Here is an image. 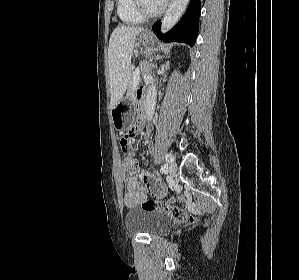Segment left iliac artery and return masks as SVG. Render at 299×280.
<instances>
[{
	"mask_svg": "<svg viewBox=\"0 0 299 280\" xmlns=\"http://www.w3.org/2000/svg\"><path fill=\"white\" fill-rule=\"evenodd\" d=\"M165 161L167 163H172L174 161V156L171 153L165 155Z\"/></svg>",
	"mask_w": 299,
	"mask_h": 280,
	"instance_id": "left-iliac-artery-1",
	"label": "left iliac artery"
}]
</instances>
